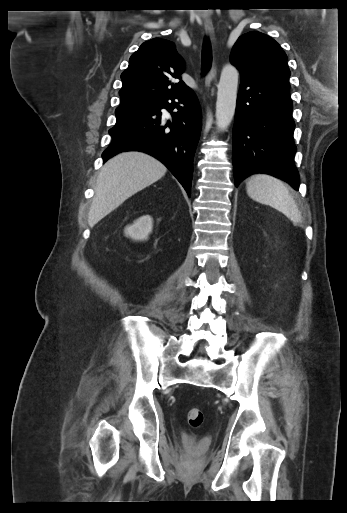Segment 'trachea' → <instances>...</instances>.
Here are the masks:
<instances>
[{
	"label": "trachea",
	"instance_id": "trachea-1",
	"mask_svg": "<svg viewBox=\"0 0 347 513\" xmlns=\"http://www.w3.org/2000/svg\"><path fill=\"white\" fill-rule=\"evenodd\" d=\"M212 63L211 44L208 39L204 40L202 47V73L209 71Z\"/></svg>",
	"mask_w": 347,
	"mask_h": 513
}]
</instances>
